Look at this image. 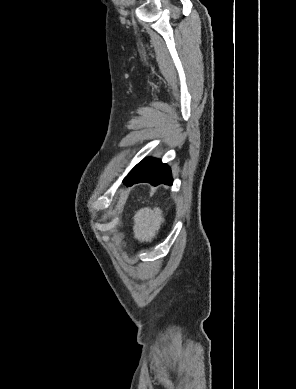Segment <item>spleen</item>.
<instances>
[{
  "mask_svg": "<svg viewBox=\"0 0 296 389\" xmlns=\"http://www.w3.org/2000/svg\"><path fill=\"white\" fill-rule=\"evenodd\" d=\"M163 222L160 208L140 209L134 216V237L140 242H151Z\"/></svg>",
  "mask_w": 296,
  "mask_h": 389,
  "instance_id": "spleen-1",
  "label": "spleen"
}]
</instances>
